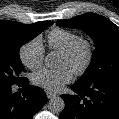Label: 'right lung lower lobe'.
Masks as SVG:
<instances>
[{"label":"right lung lower lobe","instance_id":"obj_1","mask_svg":"<svg viewBox=\"0 0 119 119\" xmlns=\"http://www.w3.org/2000/svg\"><path fill=\"white\" fill-rule=\"evenodd\" d=\"M26 87V91L12 92V86L0 87V119H32L47 102L45 92L30 85L27 78L17 84Z\"/></svg>","mask_w":119,"mask_h":119}]
</instances>
